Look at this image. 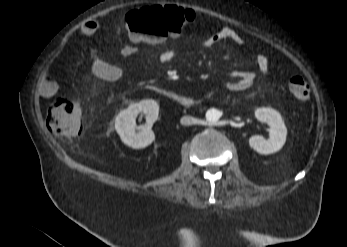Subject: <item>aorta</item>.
<instances>
[{"label":"aorta","instance_id":"1","mask_svg":"<svg viewBox=\"0 0 347 247\" xmlns=\"http://www.w3.org/2000/svg\"><path fill=\"white\" fill-rule=\"evenodd\" d=\"M220 118V112L216 109H210L206 112V120L209 123H215Z\"/></svg>","mask_w":347,"mask_h":247}]
</instances>
